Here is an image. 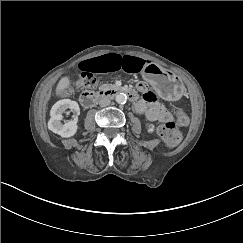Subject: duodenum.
Segmentation results:
<instances>
[{
  "instance_id": "obj_1",
  "label": "duodenum",
  "mask_w": 243,
  "mask_h": 243,
  "mask_svg": "<svg viewBox=\"0 0 243 243\" xmlns=\"http://www.w3.org/2000/svg\"><path fill=\"white\" fill-rule=\"evenodd\" d=\"M119 93L126 94L131 101H136L138 99V94L133 89L127 87H115L99 93L85 91L80 97V102L84 107L89 108L93 106L100 98L114 97Z\"/></svg>"
}]
</instances>
